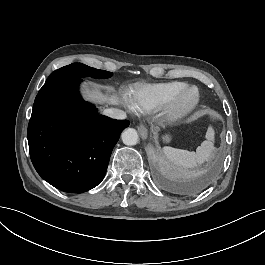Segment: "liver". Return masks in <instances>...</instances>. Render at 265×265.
Here are the masks:
<instances>
[{
  "label": "liver",
  "instance_id": "liver-1",
  "mask_svg": "<svg viewBox=\"0 0 265 265\" xmlns=\"http://www.w3.org/2000/svg\"><path fill=\"white\" fill-rule=\"evenodd\" d=\"M83 93L86 99L95 101L99 104L108 103L111 105H118L120 102L117 95H105L101 92L100 88L97 85L85 83L83 85Z\"/></svg>",
  "mask_w": 265,
  "mask_h": 265
}]
</instances>
